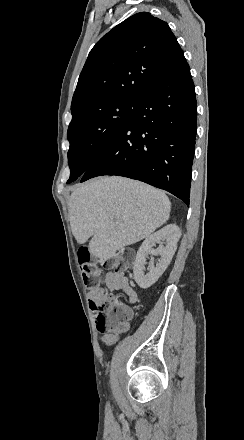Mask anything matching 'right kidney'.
Masks as SVG:
<instances>
[{
  "mask_svg": "<svg viewBox=\"0 0 244 440\" xmlns=\"http://www.w3.org/2000/svg\"><path fill=\"white\" fill-rule=\"evenodd\" d=\"M180 236V228L175 226V224H169V226H165V228L155 232V234H151V236L144 240L137 252L133 266L134 280L140 288L147 290L162 276L176 252ZM156 244H166V246H159L157 250H154L153 246H156ZM149 254L151 256H161V260H159V264H156V266L150 264L148 266V274L145 276L146 258H148Z\"/></svg>",
  "mask_w": 244,
  "mask_h": 440,
  "instance_id": "obj_1",
  "label": "right kidney"
}]
</instances>
